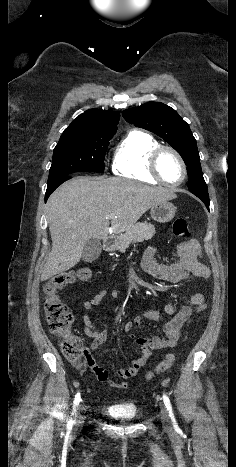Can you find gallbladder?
I'll list each match as a JSON object with an SVG mask.
<instances>
[{"label":"gallbladder","mask_w":236,"mask_h":467,"mask_svg":"<svg viewBox=\"0 0 236 467\" xmlns=\"http://www.w3.org/2000/svg\"><path fill=\"white\" fill-rule=\"evenodd\" d=\"M101 250V242L98 239H89L83 248L82 260L85 262H93L99 257Z\"/></svg>","instance_id":"bac80fb5"}]
</instances>
